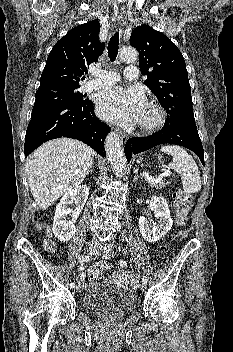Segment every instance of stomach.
<instances>
[{
  "mask_svg": "<svg viewBox=\"0 0 233 352\" xmlns=\"http://www.w3.org/2000/svg\"><path fill=\"white\" fill-rule=\"evenodd\" d=\"M138 163H141V160H138Z\"/></svg>",
  "mask_w": 233,
  "mask_h": 352,
  "instance_id": "0dacf381",
  "label": "stomach"
}]
</instances>
